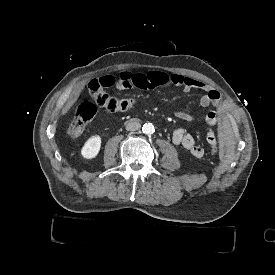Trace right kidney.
<instances>
[{
    "mask_svg": "<svg viewBox=\"0 0 275 275\" xmlns=\"http://www.w3.org/2000/svg\"><path fill=\"white\" fill-rule=\"evenodd\" d=\"M102 145V138L100 135L91 136L81 148V156L84 159L90 160L98 156Z\"/></svg>",
    "mask_w": 275,
    "mask_h": 275,
    "instance_id": "right-kidney-1",
    "label": "right kidney"
}]
</instances>
